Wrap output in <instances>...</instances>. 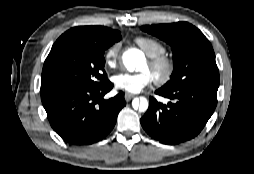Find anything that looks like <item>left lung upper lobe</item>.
<instances>
[{"label": "left lung upper lobe", "instance_id": "5c2ea615", "mask_svg": "<svg viewBox=\"0 0 254 174\" xmlns=\"http://www.w3.org/2000/svg\"><path fill=\"white\" fill-rule=\"evenodd\" d=\"M146 31L172 47L174 69L170 81L162 88L177 90L189 85L219 86V71L208 39L187 22L145 25Z\"/></svg>", "mask_w": 254, "mask_h": 174}]
</instances>
